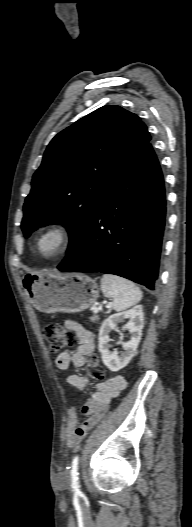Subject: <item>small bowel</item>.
<instances>
[{
	"label": "small bowel",
	"instance_id": "obj_1",
	"mask_svg": "<svg viewBox=\"0 0 192 527\" xmlns=\"http://www.w3.org/2000/svg\"><path fill=\"white\" fill-rule=\"evenodd\" d=\"M65 326L74 331L78 337V346L74 352L63 351L56 357L55 363L60 370H68L70 367L80 368L85 364L86 357L94 351L93 333L74 320H67ZM67 383L77 390L84 391L90 385L87 377L71 374L66 379ZM126 380L121 376L112 377L96 387L91 398L79 407L68 410V419L65 429V442L69 447L77 445L100 420L103 412L109 406L111 400L117 397L126 387ZM91 416L81 421L78 412Z\"/></svg>",
	"mask_w": 192,
	"mask_h": 527
}]
</instances>
